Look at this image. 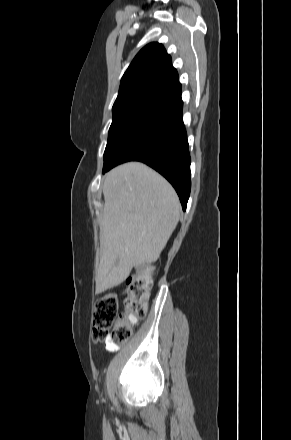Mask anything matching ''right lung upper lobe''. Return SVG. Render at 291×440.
<instances>
[{
    "instance_id": "right-lung-upper-lobe-1",
    "label": "right lung upper lobe",
    "mask_w": 291,
    "mask_h": 440,
    "mask_svg": "<svg viewBox=\"0 0 291 440\" xmlns=\"http://www.w3.org/2000/svg\"><path fill=\"white\" fill-rule=\"evenodd\" d=\"M179 83L171 57L159 43L146 45L124 73L114 104L138 99H155Z\"/></svg>"
}]
</instances>
